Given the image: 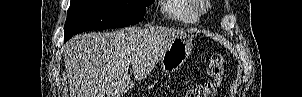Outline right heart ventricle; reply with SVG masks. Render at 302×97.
Segmentation results:
<instances>
[{
	"label": "right heart ventricle",
	"mask_w": 302,
	"mask_h": 97,
	"mask_svg": "<svg viewBox=\"0 0 302 97\" xmlns=\"http://www.w3.org/2000/svg\"><path fill=\"white\" fill-rule=\"evenodd\" d=\"M162 12L170 20L181 24H194L199 20L190 0H166L163 2Z\"/></svg>",
	"instance_id": "1"
}]
</instances>
